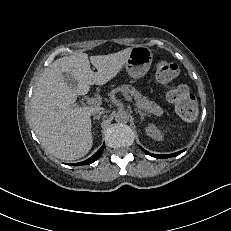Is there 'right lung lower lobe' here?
Segmentation results:
<instances>
[{
    "mask_svg": "<svg viewBox=\"0 0 231 231\" xmlns=\"http://www.w3.org/2000/svg\"><path fill=\"white\" fill-rule=\"evenodd\" d=\"M105 144H103V146L89 159L83 161V162H79V163H74V164H70V165H74V166H79V165H88L93 163L94 161H96L102 154L103 150H104Z\"/></svg>",
    "mask_w": 231,
    "mask_h": 231,
    "instance_id": "right-lung-lower-lobe-1",
    "label": "right lung lower lobe"
}]
</instances>
